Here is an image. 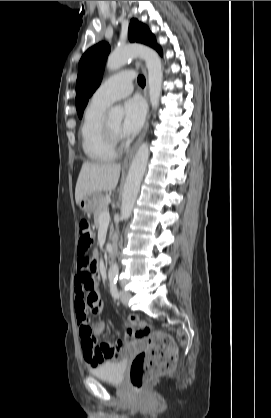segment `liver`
I'll list each match as a JSON object with an SVG mask.
<instances>
[{
  "mask_svg": "<svg viewBox=\"0 0 271 418\" xmlns=\"http://www.w3.org/2000/svg\"><path fill=\"white\" fill-rule=\"evenodd\" d=\"M120 171V164L84 162L75 188L76 203L79 204L86 195L114 190Z\"/></svg>",
  "mask_w": 271,
  "mask_h": 418,
  "instance_id": "6515ba94",
  "label": "liver"
}]
</instances>
